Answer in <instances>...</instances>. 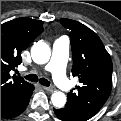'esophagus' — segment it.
<instances>
[{
  "mask_svg": "<svg viewBox=\"0 0 121 121\" xmlns=\"http://www.w3.org/2000/svg\"><path fill=\"white\" fill-rule=\"evenodd\" d=\"M43 88L50 93L54 91L52 87H43Z\"/></svg>",
  "mask_w": 121,
  "mask_h": 121,
  "instance_id": "34e87169",
  "label": "esophagus"
}]
</instances>
